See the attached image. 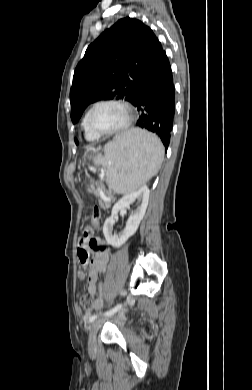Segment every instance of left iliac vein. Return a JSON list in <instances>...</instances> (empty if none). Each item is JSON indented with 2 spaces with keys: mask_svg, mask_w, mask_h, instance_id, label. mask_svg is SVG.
<instances>
[{
  "mask_svg": "<svg viewBox=\"0 0 252 390\" xmlns=\"http://www.w3.org/2000/svg\"><path fill=\"white\" fill-rule=\"evenodd\" d=\"M122 294L124 291L122 290ZM118 314H121V311L119 310ZM105 321V318L96 319L94 320L91 325L89 326V340H88V350L89 352H95L97 343H96V336L99 328Z\"/></svg>",
  "mask_w": 252,
  "mask_h": 390,
  "instance_id": "1",
  "label": "left iliac vein"
}]
</instances>
